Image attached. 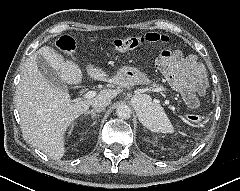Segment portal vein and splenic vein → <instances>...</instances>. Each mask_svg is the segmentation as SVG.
Returning <instances> with one entry per match:
<instances>
[{"label": "portal vein and splenic vein", "instance_id": "1", "mask_svg": "<svg viewBox=\"0 0 240 191\" xmlns=\"http://www.w3.org/2000/svg\"><path fill=\"white\" fill-rule=\"evenodd\" d=\"M96 91H88V92H86L84 95H83V97L85 98V99H91V98H93V97H95L96 96Z\"/></svg>", "mask_w": 240, "mask_h": 191}]
</instances>
